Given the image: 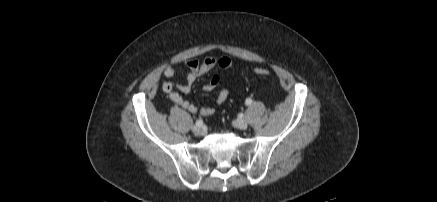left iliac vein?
Here are the masks:
<instances>
[{"label": "left iliac vein", "mask_w": 437, "mask_h": 202, "mask_svg": "<svg viewBox=\"0 0 437 202\" xmlns=\"http://www.w3.org/2000/svg\"><path fill=\"white\" fill-rule=\"evenodd\" d=\"M233 125L238 129L245 130L248 126V123L245 119L240 118L234 121Z\"/></svg>", "instance_id": "1"}]
</instances>
